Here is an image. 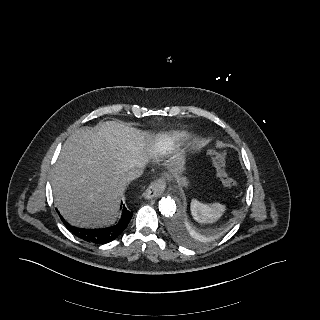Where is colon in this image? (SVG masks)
<instances>
[{"mask_svg": "<svg viewBox=\"0 0 320 320\" xmlns=\"http://www.w3.org/2000/svg\"><path fill=\"white\" fill-rule=\"evenodd\" d=\"M214 159H215L217 176H218L220 182L222 183V185L227 188H231V187L235 186L236 182L230 176V174L227 170L225 155L221 152H217V153H215Z\"/></svg>", "mask_w": 320, "mask_h": 320, "instance_id": "1", "label": "colon"}]
</instances>
